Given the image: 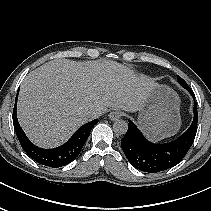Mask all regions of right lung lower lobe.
Returning <instances> with one entry per match:
<instances>
[{
    "mask_svg": "<svg viewBox=\"0 0 211 211\" xmlns=\"http://www.w3.org/2000/svg\"><path fill=\"white\" fill-rule=\"evenodd\" d=\"M19 91V90H18ZM17 97L15 100V106L13 110V125L18 140L23 150L31 157L34 161L41 165H45L52 168L62 167L69 164L79 155L82 147L87 141L92 127L98 122L97 119L82 125L73 136L65 144L54 149H42L32 144L26 137L25 133L21 129L17 120Z\"/></svg>",
    "mask_w": 211,
    "mask_h": 211,
    "instance_id": "1",
    "label": "right lung lower lobe"
}]
</instances>
